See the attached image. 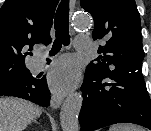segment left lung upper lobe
Wrapping results in <instances>:
<instances>
[{"mask_svg": "<svg viewBox=\"0 0 151 131\" xmlns=\"http://www.w3.org/2000/svg\"><path fill=\"white\" fill-rule=\"evenodd\" d=\"M80 4L94 18L93 39L106 41L98 49L102 55L86 71L105 78L142 67L141 21L135 0H80Z\"/></svg>", "mask_w": 151, "mask_h": 131, "instance_id": "1", "label": "left lung upper lobe"}]
</instances>
